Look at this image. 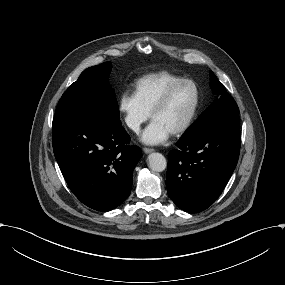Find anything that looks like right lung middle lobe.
Listing matches in <instances>:
<instances>
[{"mask_svg":"<svg viewBox=\"0 0 285 285\" xmlns=\"http://www.w3.org/2000/svg\"><path fill=\"white\" fill-rule=\"evenodd\" d=\"M111 62L89 67L64 92L55 111V117L88 115L119 119V108L109 84Z\"/></svg>","mask_w":285,"mask_h":285,"instance_id":"obj_1","label":"right lung middle lobe"}]
</instances>
